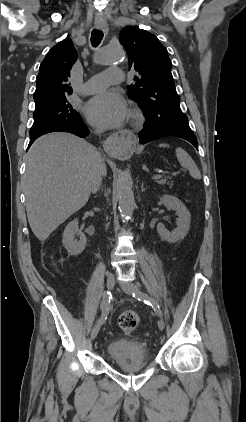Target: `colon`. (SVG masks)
Here are the masks:
<instances>
[{
    "instance_id": "5ec220e1",
    "label": "colon",
    "mask_w": 246,
    "mask_h": 422,
    "mask_svg": "<svg viewBox=\"0 0 246 422\" xmlns=\"http://www.w3.org/2000/svg\"><path fill=\"white\" fill-rule=\"evenodd\" d=\"M138 324V315L130 310L123 312L118 319L119 327L126 333L133 332L137 328Z\"/></svg>"
}]
</instances>
